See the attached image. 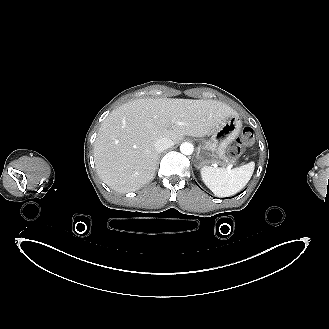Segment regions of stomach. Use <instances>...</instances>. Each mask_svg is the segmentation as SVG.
Segmentation results:
<instances>
[{
	"label": "stomach",
	"instance_id": "1",
	"mask_svg": "<svg viewBox=\"0 0 329 329\" xmlns=\"http://www.w3.org/2000/svg\"><path fill=\"white\" fill-rule=\"evenodd\" d=\"M242 128L239 115H231L222 121L213 131L211 139L206 141L198 152L196 163L206 165H233L236 158L228 154L229 144L235 140Z\"/></svg>",
	"mask_w": 329,
	"mask_h": 329
}]
</instances>
